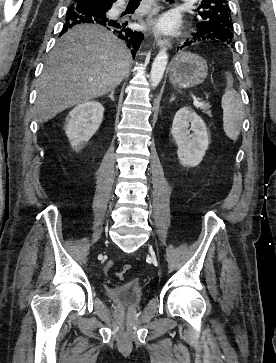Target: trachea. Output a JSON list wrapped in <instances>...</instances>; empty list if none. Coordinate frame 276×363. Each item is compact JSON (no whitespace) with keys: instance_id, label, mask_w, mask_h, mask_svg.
Masks as SVG:
<instances>
[{"instance_id":"3493384b","label":"trachea","mask_w":276,"mask_h":363,"mask_svg":"<svg viewBox=\"0 0 276 363\" xmlns=\"http://www.w3.org/2000/svg\"><path fill=\"white\" fill-rule=\"evenodd\" d=\"M170 2H173L174 0H168ZM141 0H129V4L130 5H136V6H139Z\"/></svg>"}]
</instances>
